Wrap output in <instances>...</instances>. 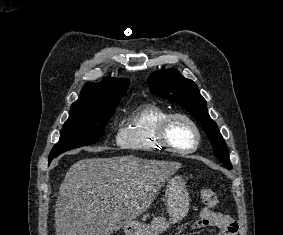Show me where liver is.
Returning a JSON list of instances; mask_svg holds the SVG:
<instances>
[{"label": "liver", "mask_w": 283, "mask_h": 235, "mask_svg": "<svg viewBox=\"0 0 283 235\" xmlns=\"http://www.w3.org/2000/svg\"><path fill=\"white\" fill-rule=\"evenodd\" d=\"M180 168L133 155L79 160L59 188L56 235H112L145 212Z\"/></svg>", "instance_id": "liver-1"}]
</instances>
